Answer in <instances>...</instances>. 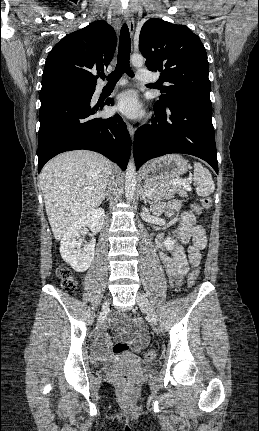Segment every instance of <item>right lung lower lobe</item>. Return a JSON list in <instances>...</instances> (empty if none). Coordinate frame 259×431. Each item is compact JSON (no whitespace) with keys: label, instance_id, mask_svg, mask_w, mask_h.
Here are the masks:
<instances>
[{"label":"right lung lower lobe","instance_id":"obj_1","mask_svg":"<svg viewBox=\"0 0 259 431\" xmlns=\"http://www.w3.org/2000/svg\"><path fill=\"white\" fill-rule=\"evenodd\" d=\"M91 94H63L41 101L38 135V173L57 154L70 150L96 151L125 170L131 152V139L126 124L117 114L109 118L95 117L101 107H91Z\"/></svg>","mask_w":259,"mask_h":431}]
</instances>
